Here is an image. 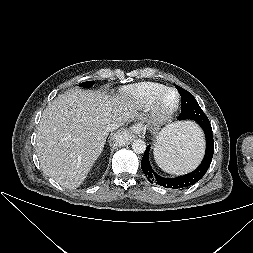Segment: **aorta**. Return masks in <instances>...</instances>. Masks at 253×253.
<instances>
[{"label": "aorta", "mask_w": 253, "mask_h": 253, "mask_svg": "<svg viewBox=\"0 0 253 253\" xmlns=\"http://www.w3.org/2000/svg\"><path fill=\"white\" fill-rule=\"evenodd\" d=\"M132 149L137 154H142L146 150V143L141 139H136L132 143Z\"/></svg>", "instance_id": "762f6f07"}]
</instances>
